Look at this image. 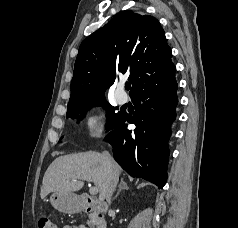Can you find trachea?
Returning a JSON list of instances; mask_svg holds the SVG:
<instances>
[{"mask_svg": "<svg viewBox=\"0 0 238 228\" xmlns=\"http://www.w3.org/2000/svg\"><path fill=\"white\" fill-rule=\"evenodd\" d=\"M130 88H131V84H126V85H125V89H126V90H129Z\"/></svg>", "mask_w": 238, "mask_h": 228, "instance_id": "obj_1", "label": "trachea"}]
</instances>
